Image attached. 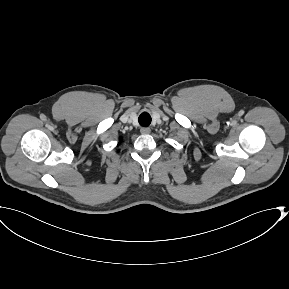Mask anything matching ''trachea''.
<instances>
[{
  "label": "trachea",
  "instance_id": "trachea-1",
  "mask_svg": "<svg viewBox=\"0 0 289 289\" xmlns=\"http://www.w3.org/2000/svg\"><path fill=\"white\" fill-rule=\"evenodd\" d=\"M141 126L147 127L151 123V116L147 112H143L138 118Z\"/></svg>",
  "mask_w": 289,
  "mask_h": 289
}]
</instances>
